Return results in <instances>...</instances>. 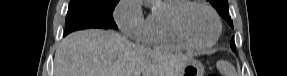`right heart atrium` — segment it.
Returning <instances> with one entry per match:
<instances>
[{
  "label": "right heart atrium",
  "mask_w": 287,
  "mask_h": 76,
  "mask_svg": "<svg viewBox=\"0 0 287 76\" xmlns=\"http://www.w3.org/2000/svg\"><path fill=\"white\" fill-rule=\"evenodd\" d=\"M114 18L124 35L140 39L145 25L141 0H120L115 8Z\"/></svg>",
  "instance_id": "obj_1"
}]
</instances>
